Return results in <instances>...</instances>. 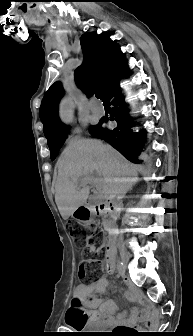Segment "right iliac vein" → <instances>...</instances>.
Returning a JSON list of instances; mask_svg holds the SVG:
<instances>
[{"instance_id":"1","label":"right iliac vein","mask_w":193,"mask_h":336,"mask_svg":"<svg viewBox=\"0 0 193 336\" xmlns=\"http://www.w3.org/2000/svg\"><path fill=\"white\" fill-rule=\"evenodd\" d=\"M128 262H129L128 257L126 255H123L122 256V268L120 269V273H122V274L125 273V270L127 268Z\"/></svg>"}]
</instances>
